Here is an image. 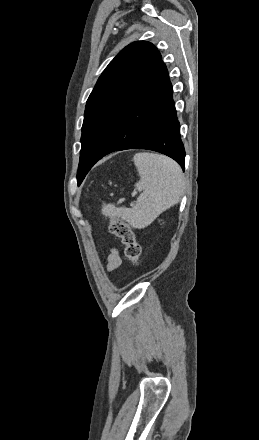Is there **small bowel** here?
<instances>
[{
	"label": "small bowel",
	"mask_w": 259,
	"mask_h": 440,
	"mask_svg": "<svg viewBox=\"0 0 259 440\" xmlns=\"http://www.w3.org/2000/svg\"><path fill=\"white\" fill-rule=\"evenodd\" d=\"M107 270L109 272L117 269L121 265V256L116 249H110L106 255Z\"/></svg>",
	"instance_id": "c3829d8e"
}]
</instances>
